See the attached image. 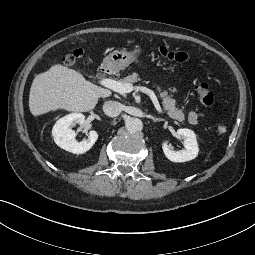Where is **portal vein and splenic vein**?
I'll return each mask as SVG.
<instances>
[{
	"mask_svg": "<svg viewBox=\"0 0 255 255\" xmlns=\"http://www.w3.org/2000/svg\"><path fill=\"white\" fill-rule=\"evenodd\" d=\"M100 84L106 88H109L115 92H118V93H129V92H132V91H141L142 93H145L147 94L150 99L152 100L156 110L159 112V113H162V109H161V106L158 102V99L155 95V93L147 88V87H144V86H133L132 84H124V83H121L119 81H115V80H112V79H108V78H105V79H102L100 81Z\"/></svg>",
	"mask_w": 255,
	"mask_h": 255,
	"instance_id": "portal-vein-and-splenic-vein-1",
	"label": "portal vein and splenic vein"
}]
</instances>
